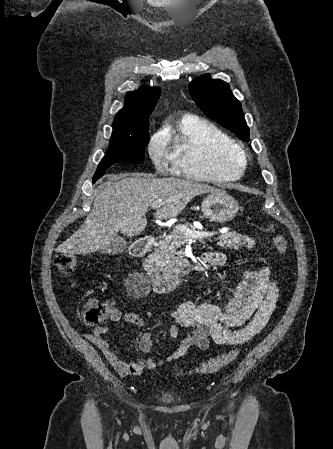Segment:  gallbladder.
I'll list each match as a JSON object with an SVG mask.
<instances>
[{
  "instance_id": "obj_1",
  "label": "gallbladder",
  "mask_w": 333,
  "mask_h": 449,
  "mask_svg": "<svg viewBox=\"0 0 333 449\" xmlns=\"http://www.w3.org/2000/svg\"><path fill=\"white\" fill-rule=\"evenodd\" d=\"M127 248V242L120 238L116 237L113 242H111L110 245L106 246L103 250H101L102 253L105 254H120Z\"/></svg>"
}]
</instances>
